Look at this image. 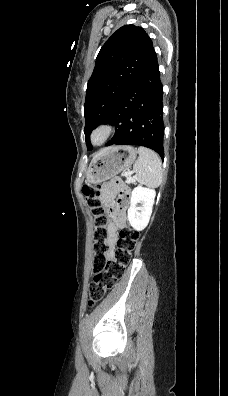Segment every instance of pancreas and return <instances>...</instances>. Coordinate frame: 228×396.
Segmentation results:
<instances>
[{"label":"pancreas","mask_w":228,"mask_h":396,"mask_svg":"<svg viewBox=\"0 0 228 396\" xmlns=\"http://www.w3.org/2000/svg\"><path fill=\"white\" fill-rule=\"evenodd\" d=\"M123 175H126V172H125ZM127 182H130V181H129V180H127Z\"/></svg>","instance_id":"1"}]
</instances>
